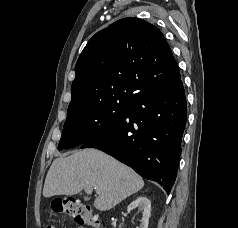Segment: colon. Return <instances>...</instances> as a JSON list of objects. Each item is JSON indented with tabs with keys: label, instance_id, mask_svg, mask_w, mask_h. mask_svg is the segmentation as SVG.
I'll list each match as a JSON object with an SVG mask.
<instances>
[{
	"label": "colon",
	"instance_id": "obj_1",
	"mask_svg": "<svg viewBox=\"0 0 238 228\" xmlns=\"http://www.w3.org/2000/svg\"><path fill=\"white\" fill-rule=\"evenodd\" d=\"M50 210L57 214L69 215L75 223L81 226L91 228H99V217L92 209L84 204H81L74 198H65L57 200L51 204ZM44 228H55L53 225H46Z\"/></svg>",
	"mask_w": 238,
	"mask_h": 228
}]
</instances>
